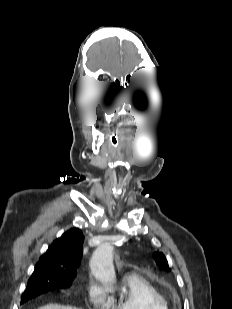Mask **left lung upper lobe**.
<instances>
[{
  "mask_svg": "<svg viewBox=\"0 0 232 309\" xmlns=\"http://www.w3.org/2000/svg\"><path fill=\"white\" fill-rule=\"evenodd\" d=\"M154 257H155L156 264H157L160 268H162V269H164V270H167V271L170 270V268H169V266H168V262H167L165 256H164L162 253H160V252H155V253H154Z\"/></svg>",
  "mask_w": 232,
  "mask_h": 309,
  "instance_id": "1",
  "label": "left lung upper lobe"
}]
</instances>
